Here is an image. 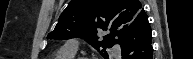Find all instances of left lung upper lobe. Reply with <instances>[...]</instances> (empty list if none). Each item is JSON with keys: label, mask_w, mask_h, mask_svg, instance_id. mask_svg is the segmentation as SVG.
I'll use <instances>...</instances> for the list:
<instances>
[{"label": "left lung upper lobe", "mask_w": 193, "mask_h": 59, "mask_svg": "<svg viewBox=\"0 0 193 59\" xmlns=\"http://www.w3.org/2000/svg\"><path fill=\"white\" fill-rule=\"evenodd\" d=\"M141 13L144 9L139 0H72L47 38H82L106 58V48L118 43ZM101 31L107 32L103 39L97 36Z\"/></svg>", "instance_id": "5c2ea615"}]
</instances>
